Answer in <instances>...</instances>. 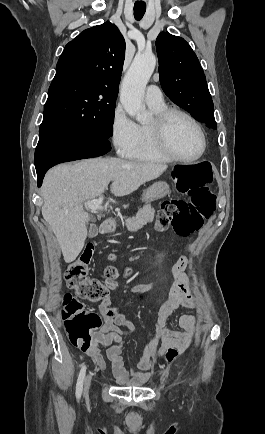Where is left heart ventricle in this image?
Returning <instances> with one entry per match:
<instances>
[{
  "mask_svg": "<svg viewBox=\"0 0 265 434\" xmlns=\"http://www.w3.org/2000/svg\"><path fill=\"white\" fill-rule=\"evenodd\" d=\"M169 141L175 152L183 158L195 157L202 146L196 128L181 116H175L171 121Z\"/></svg>",
  "mask_w": 265,
  "mask_h": 434,
  "instance_id": "left-heart-ventricle-1",
  "label": "left heart ventricle"
}]
</instances>
